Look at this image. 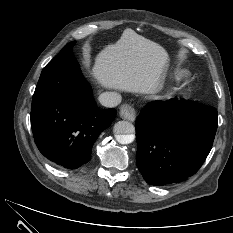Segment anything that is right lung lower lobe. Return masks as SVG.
<instances>
[{
    "label": "right lung lower lobe",
    "instance_id": "obj_1",
    "mask_svg": "<svg viewBox=\"0 0 233 233\" xmlns=\"http://www.w3.org/2000/svg\"><path fill=\"white\" fill-rule=\"evenodd\" d=\"M115 109L100 110L72 49L62 50L42 70L31 108V128L40 152L67 169L87 163Z\"/></svg>",
    "mask_w": 233,
    "mask_h": 233
}]
</instances>
